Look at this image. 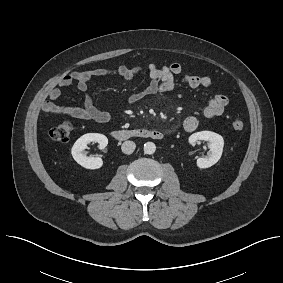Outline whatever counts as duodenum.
<instances>
[{
  "label": "duodenum",
  "mask_w": 283,
  "mask_h": 283,
  "mask_svg": "<svg viewBox=\"0 0 283 283\" xmlns=\"http://www.w3.org/2000/svg\"><path fill=\"white\" fill-rule=\"evenodd\" d=\"M111 136L116 140H128L132 138H152L161 140L164 138L165 134L160 130L119 129L112 131Z\"/></svg>",
  "instance_id": "410a0bca"
}]
</instances>
